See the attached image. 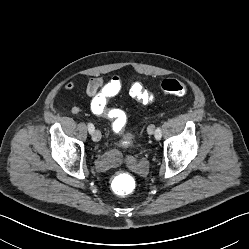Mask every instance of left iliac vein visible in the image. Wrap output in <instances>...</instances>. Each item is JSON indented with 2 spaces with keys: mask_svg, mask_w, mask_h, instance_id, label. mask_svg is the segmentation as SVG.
<instances>
[{
  "mask_svg": "<svg viewBox=\"0 0 249 249\" xmlns=\"http://www.w3.org/2000/svg\"><path fill=\"white\" fill-rule=\"evenodd\" d=\"M154 125H150L147 129L148 134L152 135L154 133Z\"/></svg>",
  "mask_w": 249,
  "mask_h": 249,
  "instance_id": "obj_1",
  "label": "left iliac vein"
}]
</instances>
